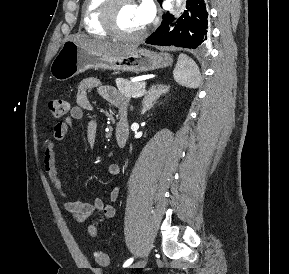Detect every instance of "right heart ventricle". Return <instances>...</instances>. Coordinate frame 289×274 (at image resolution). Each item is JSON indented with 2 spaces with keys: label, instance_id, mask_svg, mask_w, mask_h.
<instances>
[{
  "label": "right heart ventricle",
  "instance_id": "obj_1",
  "mask_svg": "<svg viewBox=\"0 0 289 274\" xmlns=\"http://www.w3.org/2000/svg\"><path fill=\"white\" fill-rule=\"evenodd\" d=\"M105 0H85L82 10V21L85 30L92 35L108 36L100 21V12Z\"/></svg>",
  "mask_w": 289,
  "mask_h": 274
}]
</instances>
